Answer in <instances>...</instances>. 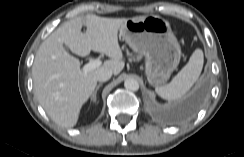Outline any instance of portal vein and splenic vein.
I'll use <instances>...</instances> for the list:
<instances>
[{
	"mask_svg": "<svg viewBox=\"0 0 244 157\" xmlns=\"http://www.w3.org/2000/svg\"><path fill=\"white\" fill-rule=\"evenodd\" d=\"M101 65V61L99 59L91 60L89 63L83 66V71L86 74L87 72L98 68Z\"/></svg>",
	"mask_w": 244,
	"mask_h": 157,
	"instance_id": "1",
	"label": "portal vein and splenic vein"
}]
</instances>
